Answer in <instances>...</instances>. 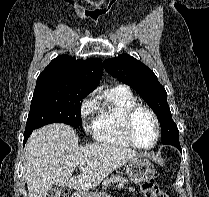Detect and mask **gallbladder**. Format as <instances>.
<instances>
[{
	"mask_svg": "<svg viewBox=\"0 0 209 197\" xmlns=\"http://www.w3.org/2000/svg\"><path fill=\"white\" fill-rule=\"evenodd\" d=\"M60 191L61 190L58 186H54L49 190L47 197H58L60 194Z\"/></svg>",
	"mask_w": 209,
	"mask_h": 197,
	"instance_id": "1",
	"label": "gallbladder"
}]
</instances>
